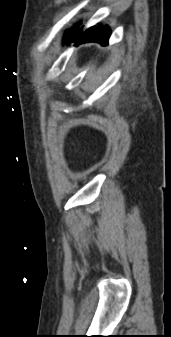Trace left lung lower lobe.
Here are the masks:
<instances>
[{
  "label": "left lung lower lobe",
  "mask_w": 171,
  "mask_h": 337,
  "mask_svg": "<svg viewBox=\"0 0 171 337\" xmlns=\"http://www.w3.org/2000/svg\"><path fill=\"white\" fill-rule=\"evenodd\" d=\"M111 30L108 26L99 25L93 26L87 29L85 32L81 33L78 30V26L72 30V32L66 37L65 43L72 41L75 38V43H88V42H98L101 45L108 44V39L110 37Z\"/></svg>",
  "instance_id": "obj_1"
}]
</instances>
